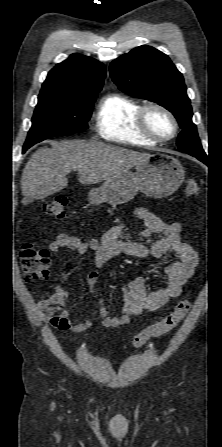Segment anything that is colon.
<instances>
[{"label": "colon", "instance_id": "obj_1", "mask_svg": "<svg viewBox=\"0 0 222 447\" xmlns=\"http://www.w3.org/2000/svg\"><path fill=\"white\" fill-rule=\"evenodd\" d=\"M200 192L198 183L190 179L186 183L185 195L196 197ZM44 212L55 218H64L67 215V198L58 196L44 205ZM20 264L27 283H36L45 280L49 274L50 253L30 243L22 244L20 248ZM191 308L189 300H181L161 320L141 330L133 339L135 348L142 347L152 337L168 333L174 329L187 315Z\"/></svg>", "mask_w": 222, "mask_h": 447}]
</instances>
